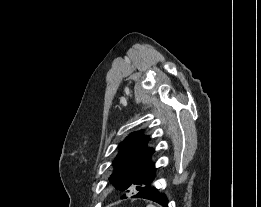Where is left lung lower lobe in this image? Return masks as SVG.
Returning a JSON list of instances; mask_svg holds the SVG:
<instances>
[{"label":"left lung lower lobe","mask_w":261,"mask_h":207,"mask_svg":"<svg viewBox=\"0 0 261 207\" xmlns=\"http://www.w3.org/2000/svg\"><path fill=\"white\" fill-rule=\"evenodd\" d=\"M146 183V186L137 188L138 193L133 196V198H143L154 202H157L163 207H168V199L165 194L160 193L154 186L150 183Z\"/></svg>","instance_id":"1"}]
</instances>
